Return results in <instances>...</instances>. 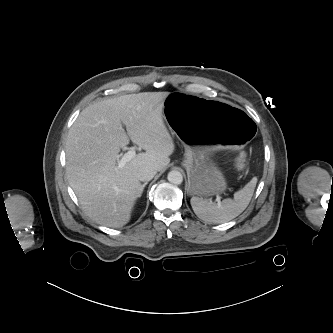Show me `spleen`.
Segmentation results:
<instances>
[{"mask_svg": "<svg viewBox=\"0 0 333 333\" xmlns=\"http://www.w3.org/2000/svg\"><path fill=\"white\" fill-rule=\"evenodd\" d=\"M257 178H253L241 190L234 194V199H224L214 203L207 199L192 197L190 200L194 213L205 222L224 223L240 215L248 206Z\"/></svg>", "mask_w": 333, "mask_h": 333, "instance_id": "1", "label": "spleen"}]
</instances>
